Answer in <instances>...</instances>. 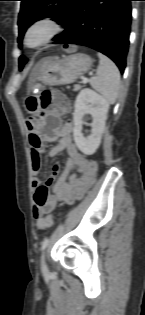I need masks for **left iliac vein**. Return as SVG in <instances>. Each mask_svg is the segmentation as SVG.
<instances>
[{
    "label": "left iliac vein",
    "instance_id": "1",
    "mask_svg": "<svg viewBox=\"0 0 145 315\" xmlns=\"http://www.w3.org/2000/svg\"><path fill=\"white\" fill-rule=\"evenodd\" d=\"M40 264H41V270L43 272H47L48 268H47V264H46V261H45V253H43L42 256H41Z\"/></svg>",
    "mask_w": 145,
    "mask_h": 315
}]
</instances>
